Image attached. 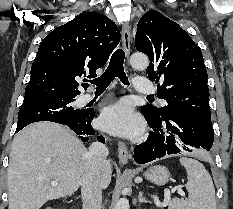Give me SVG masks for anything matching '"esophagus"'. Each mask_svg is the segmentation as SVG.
Instances as JSON below:
<instances>
[{"instance_id":"34e87169","label":"esophagus","mask_w":233,"mask_h":209,"mask_svg":"<svg viewBox=\"0 0 233 209\" xmlns=\"http://www.w3.org/2000/svg\"><path fill=\"white\" fill-rule=\"evenodd\" d=\"M122 44L128 58L130 55V29L127 24L122 26ZM130 154L125 143L118 142V158L121 164H127Z\"/></svg>"}]
</instances>
